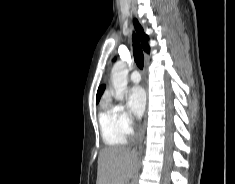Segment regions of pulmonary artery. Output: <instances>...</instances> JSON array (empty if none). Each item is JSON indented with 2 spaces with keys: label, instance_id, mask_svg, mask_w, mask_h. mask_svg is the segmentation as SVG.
I'll return each mask as SVG.
<instances>
[{
  "label": "pulmonary artery",
  "instance_id": "obj_1",
  "mask_svg": "<svg viewBox=\"0 0 235 184\" xmlns=\"http://www.w3.org/2000/svg\"><path fill=\"white\" fill-rule=\"evenodd\" d=\"M130 80L133 84L140 83L142 80L141 74L138 71L132 72L130 75Z\"/></svg>",
  "mask_w": 235,
  "mask_h": 184
}]
</instances>
